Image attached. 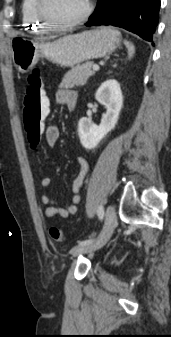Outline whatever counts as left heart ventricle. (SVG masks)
<instances>
[{
  "label": "left heart ventricle",
  "instance_id": "b2bd125f",
  "mask_svg": "<svg viewBox=\"0 0 171 337\" xmlns=\"http://www.w3.org/2000/svg\"><path fill=\"white\" fill-rule=\"evenodd\" d=\"M87 0H48L47 11L57 22H68L80 16L86 8Z\"/></svg>",
  "mask_w": 171,
  "mask_h": 337
}]
</instances>
